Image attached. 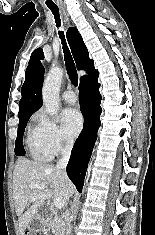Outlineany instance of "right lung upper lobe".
Masks as SVG:
<instances>
[{
  "label": "right lung upper lobe",
  "instance_id": "right-lung-upper-lobe-1",
  "mask_svg": "<svg viewBox=\"0 0 155 235\" xmlns=\"http://www.w3.org/2000/svg\"><path fill=\"white\" fill-rule=\"evenodd\" d=\"M67 39L78 70H85L92 76L97 75L98 71L94 67L93 60L89 58L87 47L77 28L70 27L68 29ZM89 77V75L82 76L80 82ZM43 78L44 68L40 61L30 63L26 69L25 82L21 89L22 98L19 102V118L32 115L42 106L41 88Z\"/></svg>",
  "mask_w": 155,
  "mask_h": 235
}]
</instances>
